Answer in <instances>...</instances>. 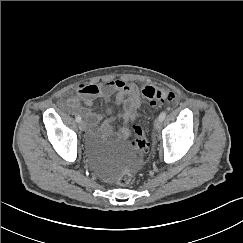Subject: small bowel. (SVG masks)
Returning <instances> with one entry per match:
<instances>
[{"label":"small bowel","mask_w":243,"mask_h":243,"mask_svg":"<svg viewBox=\"0 0 243 243\" xmlns=\"http://www.w3.org/2000/svg\"><path fill=\"white\" fill-rule=\"evenodd\" d=\"M112 97L114 98L113 105L122 107V110L114 119L123 123L118 128L119 135L122 138H127L129 130L125 124L136 119L140 109L138 87L133 83L115 79L104 81L101 84H80L77 86L74 94L69 95L63 100L62 106L81 113L89 121L94 130V127L101 119V115L89 111L82 104L90 107L97 98L109 101ZM111 110L112 107H109L106 113L109 114ZM103 126L109 129L112 126V121L106 122Z\"/></svg>","instance_id":"c3829d8e"}]
</instances>
